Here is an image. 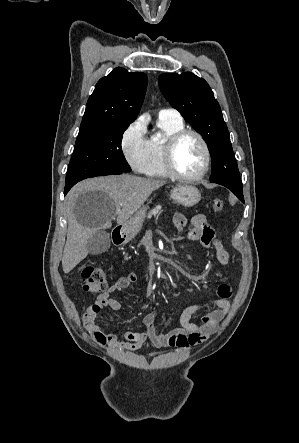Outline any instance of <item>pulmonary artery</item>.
<instances>
[{
    "label": "pulmonary artery",
    "mask_w": 299,
    "mask_h": 443,
    "mask_svg": "<svg viewBox=\"0 0 299 443\" xmlns=\"http://www.w3.org/2000/svg\"><path fill=\"white\" fill-rule=\"evenodd\" d=\"M158 115H159V118H163V119L182 120L180 113L173 108L161 109L159 111Z\"/></svg>",
    "instance_id": "obj_1"
}]
</instances>
